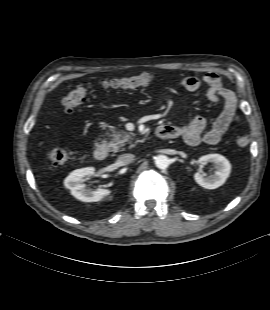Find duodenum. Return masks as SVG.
I'll list each match as a JSON object with an SVG mask.
<instances>
[{
	"instance_id": "obj_1",
	"label": "duodenum",
	"mask_w": 270,
	"mask_h": 310,
	"mask_svg": "<svg viewBox=\"0 0 270 310\" xmlns=\"http://www.w3.org/2000/svg\"><path fill=\"white\" fill-rule=\"evenodd\" d=\"M157 136L161 139L167 140L171 139L170 133L164 128V127H159L157 131ZM108 156V150L105 144H98L95 149H94V157L97 160H104Z\"/></svg>"
}]
</instances>
